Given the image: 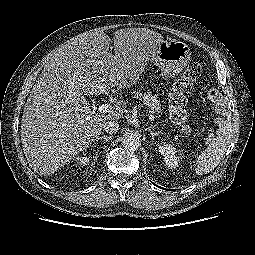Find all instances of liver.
Returning a JSON list of instances; mask_svg holds the SVG:
<instances>
[{
    "label": "liver",
    "mask_w": 255,
    "mask_h": 255,
    "mask_svg": "<svg viewBox=\"0 0 255 255\" xmlns=\"http://www.w3.org/2000/svg\"><path fill=\"white\" fill-rule=\"evenodd\" d=\"M110 37L100 31L77 35L58 49L30 92L21 120V141L32 169L48 176L68 164L101 134L108 119H120V104L108 115L93 114L86 94L131 88L157 53L161 34L125 28Z\"/></svg>",
    "instance_id": "obj_1"
}]
</instances>
